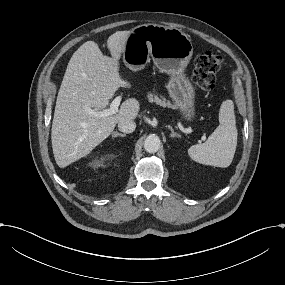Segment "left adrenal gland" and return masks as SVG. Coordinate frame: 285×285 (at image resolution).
Here are the masks:
<instances>
[{"mask_svg":"<svg viewBox=\"0 0 285 285\" xmlns=\"http://www.w3.org/2000/svg\"><path fill=\"white\" fill-rule=\"evenodd\" d=\"M166 127H168V128L170 129V131H171V135H170V136H171V137H178V138H181V135H180V134L174 132V129L172 128V126L167 125Z\"/></svg>","mask_w":285,"mask_h":285,"instance_id":"a2214340","label":"left adrenal gland"}]
</instances>
